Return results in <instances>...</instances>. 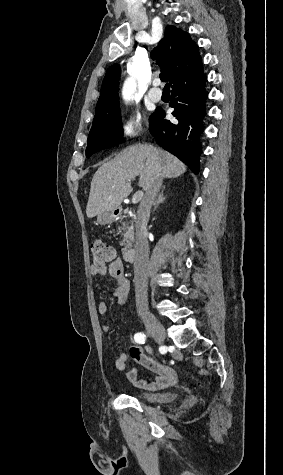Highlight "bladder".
I'll return each mask as SVG.
<instances>
[{
	"label": "bladder",
	"instance_id": "bladder-1",
	"mask_svg": "<svg viewBox=\"0 0 283 475\" xmlns=\"http://www.w3.org/2000/svg\"><path fill=\"white\" fill-rule=\"evenodd\" d=\"M135 398L149 403H161L165 400H173L176 397L175 393L168 392V393H147L145 391L136 392L134 395Z\"/></svg>",
	"mask_w": 283,
	"mask_h": 475
}]
</instances>
